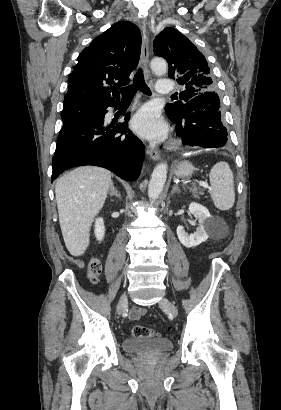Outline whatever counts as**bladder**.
<instances>
[{
  "instance_id": "31cf9c89",
  "label": "bladder",
  "mask_w": 281,
  "mask_h": 410,
  "mask_svg": "<svg viewBox=\"0 0 281 410\" xmlns=\"http://www.w3.org/2000/svg\"><path fill=\"white\" fill-rule=\"evenodd\" d=\"M123 348L127 353L156 356L171 351L173 343L166 339L129 338L124 341Z\"/></svg>"
}]
</instances>
